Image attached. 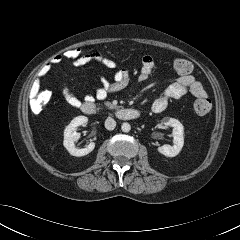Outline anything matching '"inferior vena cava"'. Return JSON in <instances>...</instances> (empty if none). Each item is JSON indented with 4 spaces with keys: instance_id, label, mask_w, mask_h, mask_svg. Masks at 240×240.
<instances>
[{
    "instance_id": "obj_1",
    "label": "inferior vena cava",
    "mask_w": 240,
    "mask_h": 240,
    "mask_svg": "<svg viewBox=\"0 0 240 240\" xmlns=\"http://www.w3.org/2000/svg\"><path fill=\"white\" fill-rule=\"evenodd\" d=\"M116 127V121L113 118H107L105 121V128L107 130H114Z\"/></svg>"
}]
</instances>
